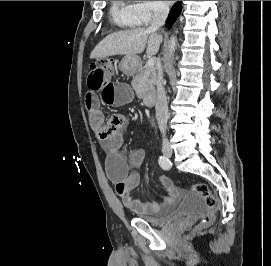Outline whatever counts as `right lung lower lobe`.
I'll return each instance as SVG.
<instances>
[{"label":"right lung lower lobe","mask_w":271,"mask_h":266,"mask_svg":"<svg viewBox=\"0 0 271 266\" xmlns=\"http://www.w3.org/2000/svg\"><path fill=\"white\" fill-rule=\"evenodd\" d=\"M182 10V2H176L173 7L170 10V13L168 15V18L166 20V26L170 28L172 24L175 22L177 17L179 16L180 12Z\"/></svg>","instance_id":"1"}]
</instances>
